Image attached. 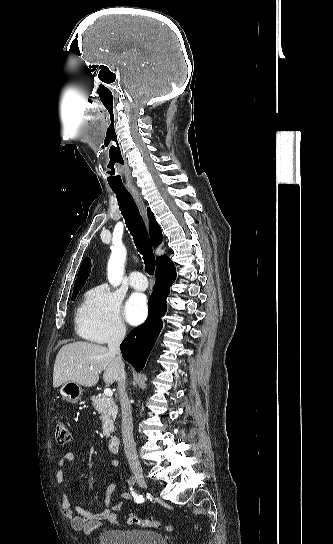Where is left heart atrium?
I'll return each instance as SVG.
<instances>
[{
  "instance_id": "left-heart-atrium-1",
  "label": "left heart atrium",
  "mask_w": 333,
  "mask_h": 544,
  "mask_svg": "<svg viewBox=\"0 0 333 544\" xmlns=\"http://www.w3.org/2000/svg\"><path fill=\"white\" fill-rule=\"evenodd\" d=\"M127 321L132 325L142 323L147 316V299L142 294H133L125 307Z\"/></svg>"
}]
</instances>
